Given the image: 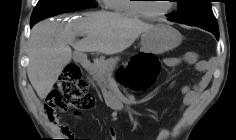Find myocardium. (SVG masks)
I'll return each instance as SVG.
<instances>
[{"mask_svg": "<svg viewBox=\"0 0 236 140\" xmlns=\"http://www.w3.org/2000/svg\"><path fill=\"white\" fill-rule=\"evenodd\" d=\"M142 1V0H139ZM173 1V0H171ZM175 8V4L170 2V7L160 13H152L150 11H148V9L146 8V5L144 3L138 2L137 4H135V9L138 12V14L144 18L147 19H160L162 17H165L166 15H168L169 13H171Z\"/></svg>", "mask_w": 236, "mask_h": 140, "instance_id": "1", "label": "myocardium"}]
</instances>
